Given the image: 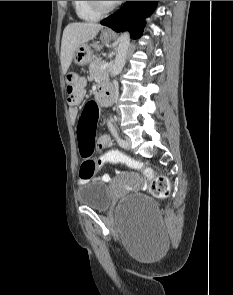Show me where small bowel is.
Wrapping results in <instances>:
<instances>
[{
  "instance_id": "1",
  "label": "small bowel",
  "mask_w": 233,
  "mask_h": 295,
  "mask_svg": "<svg viewBox=\"0 0 233 295\" xmlns=\"http://www.w3.org/2000/svg\"><path fill=\"white\" fill-rule=\"evenodd\" d=\"M84 99V93L76 98H68V104L70 106L69 108V114L71 119L75 120L78 117L79 114V110H80V104L82 103ZM90 111L92 113H94L96 115V117H98V107L96 106L95 103L90 102L86 105V107L84 108V111ZM112 145V140L108 137V136H101L98 139V147L99 149H105V148H109ZM102 179L106 182H108L110 180V177L108 175H104L102 177ZM85 180L81 179L79 182H84Z\"/></svg>"
}]
</instances>
